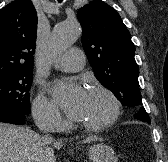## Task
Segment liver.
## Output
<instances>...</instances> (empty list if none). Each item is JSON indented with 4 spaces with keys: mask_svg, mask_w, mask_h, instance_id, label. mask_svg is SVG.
Returning <instances> with one entry per match:
<instances>
[{
    "mask_svg": "<svg viewBox=\"0 0 168 162\" xmlns=\"http://www.w3.org/2000/svg\"><path fill=\"white\" fill-rule=\"evenodd\" d=\"M95 140L87 138L83 142ZM50 145L63 147L62 142L42 139L28 128L0 123V162H56Z\"/></svg>",
    "mask_w": 168,
    "mask_h": 162,
    "instance_id": "obj_1",
    "label": "liver"
}]
</instances>
